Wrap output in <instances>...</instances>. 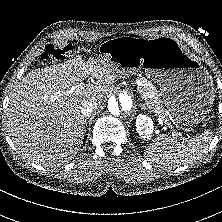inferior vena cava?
<instances>
[{"mask_svg":"<svg viewBox=\"0 0 222 222\" xmlns=\"http://www.w3.org/2000/svg\"><path fill=\"white\" fill-rule=\"evenodd\" d=\"M97 103L95 102V100L91 99V100H86L83 103V107L81 108V113L84 116H89L94 110L97 109Z\"/></svg>","mask_w":222,"mask_h":222,"instance_id":"obj_1","label":"inferior vena cava"}]
</instances>
